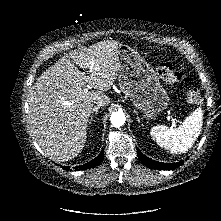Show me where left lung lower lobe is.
<instances>
[{
	"mask_svg": "<svg viewBox=\"0 0 221 221\" xmlns=\"http://www.w3.org/2000/svg\"><path fill=\"white\" fill-rule=\"evenodd\" d=\"M137 154H138L139 160L148 168H153V169H158V170H172V169H175L183 164V161H180V162L174 163V164L173 163L167 164V163L157 162V161H154V160L146 157L139 150H137Z\"/></svg>",
	"mask_w": 221,
	"mask_h": 221,
	"instance_id": "1",
	"label": "left lung lower lobe"
}]
</instances>
